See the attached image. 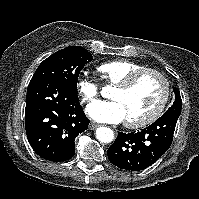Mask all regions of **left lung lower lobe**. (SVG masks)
I'll return each mask as SVG.
<instances>
[{"label": "left lung lower lobe", "instance_id": "left-lung-lower-lobe-1", "mask_svg": "<svg viewBox=\"0 0 199 199\" xmlns=\"http://www.w3.org/2000/svg\"><path fill=\"white\" fill-rule=\"evenodd\" d=\"M178 117L163 115L140 131L118 132L107 151L109 161L129 171L146 169L169 149Z\"/></svg>", "mask_w": 199, "mask_h": 199}]
</instances>
